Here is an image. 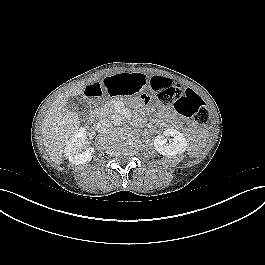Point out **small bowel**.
<instances>
[{
    "instance_id": "small-bowel-1",
    "label": "small bowel",
    "mask_w": 265,
    "mask_h": 265,
    "mask_svg": "<svg viewBox=\"0 0 265 265\" xmlns=\"http://www.w3.org/2000/svg\"><path fill=\"white\" fill-rule=\"evenodd\" d=\"M145 85V78L141 74H118L105 78L102 82L89 80L85 84V91L89 95H97L103 88L110 95H124L135 93ZM159 113L168 119H174L175 113L170 109L160 108Z\"/></svg>"
}]
</instances>
